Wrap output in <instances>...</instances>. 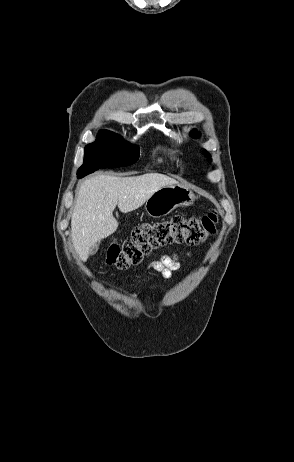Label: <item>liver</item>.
Here are the masks:
<instances>
[{
  "mask_svg": "<svg viewBox=\"0 0 294 462\" xmlns=\"http://www.w3.org/2000/svg\"><path fill=\"white\" fill-rule=\"evenodd\" d=\"M175 184V179L160 173L124 178L101 174L85 180L71 219L73 245L81 260L86 261L91 247L117 230L116 205L122 213L131 212L158 189Z\"/></svg>",
  "mask_w": 294,
  "mask_h": 462,
  "instance_id": "6515ba94",
  "label": "liver"
}]
</instances>
